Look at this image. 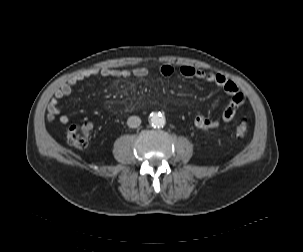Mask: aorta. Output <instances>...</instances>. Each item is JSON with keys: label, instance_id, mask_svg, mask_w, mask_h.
Returning <instances> with one entry per match:
<instances>
[{"label": "aorta", "instance_id": "1", "mask_svg": "<svg viewBox=\"0 0 303 252\" xmlns=\"http://www.w3.org/2000/svg\"><path fill=\"white\" fill-rule=\"evenodd\" d=\"M150 124L155 128L163 127L166 123L165 117L161 113H151L149 117Z\"/></svg>", "mask_w": 303, "mask_h": 252}]
</instances>
